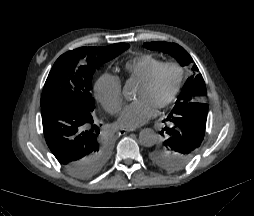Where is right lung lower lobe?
<instances>
[{
    "label": "right lung lower lobe",
    "instance_id": "1",
    "mask_svg": "<svg viewBox=\"0 0 254 216\" xmlns=\"http://www.w3.org/2000/svg\"><path fill=\"white\" fill-rule=\"evenodd\" d=\"M41 115L47 145L69 173L89 178L100 171L102 145L91 112L64 102H51L41 107Z\"/></svg>",
    "mask_w": 254,
    "mask_h": 216
}]
</instances>
